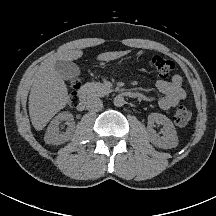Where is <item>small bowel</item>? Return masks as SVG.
Masks as SVG:
<instances>
[{"instance_id": "c3829d8e", "label": "small bowel", "mask_w": 216, "mask_h": 216, "mask_svg": "<svg viewBox=\"0 0 216 216\" xmlns=\"http://www.w3.org/2000/svg\"><path fill=\"white\" fill-rule=\"evenodd\" d=\"M183 79L180 75H174L171 80H158L156 87L162 94L159 99V106L163 110H168L176 106L186 98V92L182 87ZM144 99L149 97L142 95Z\"/></svg>"}]
</instances>
